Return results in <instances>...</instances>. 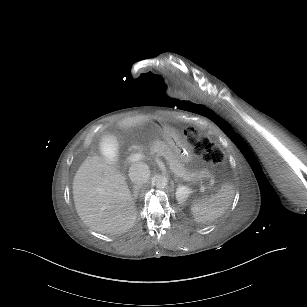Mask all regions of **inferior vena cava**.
Masks as SVG:
<instances>
[{"instance_id":"obj_1","label":"inferior vena cava","mask_w":307,"mask_h":307,"mask_svg":"<svg viewBox=\"0 0 307 307\" xmlns=\"http://www.w3.org/2000/svg\"><path fill=\"white\" fill-rule=\"evenodd\" d=\"M129 178L137 186H142L150 179L149 167L143 163L132 165L129 170Z\"/></svg>"}]
</instances>
